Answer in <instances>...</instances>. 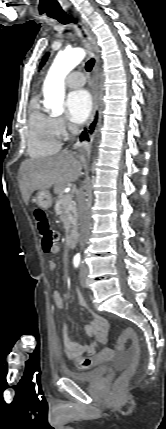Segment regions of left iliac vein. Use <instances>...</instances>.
Wrapping results in <instances>:
<instances>
[{"mask_svg":"<svg viewBox=\"0 0 166 429\" xmlns=\"http://www.w3.org/2000/svg\"><path fill=\"white\" fill-rule=\"evenodd\" d=\"M80 284L83 288H86L88 286L87 284V277H86V268L84 266H81L80 268Z\"/></svg>","mask_w":166,"mask_h":429,"instance_id":"1","label":"left iliac vein"}]
</instances>
